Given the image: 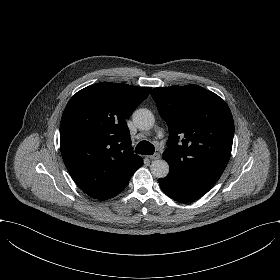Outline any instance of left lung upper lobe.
<instances>
[{
    "mask_svg": "<svg viewBox=\"0 0 280 280\" xmlns=\"http://www.w3.org/2000/svg\"><path fill=\"white\" fill-rule=\"evenodd\" d=\"M151 95L169 129L163 158L181 180L216 182L229 161L234 122L228 105L198 85L155 88Z\"/></svg>",
    "mask_w": 280,
    "mask_h": 280,
    "instance_id": "5c2ea615",
    "label": "left lung upper lobe"
}]
</instances>
